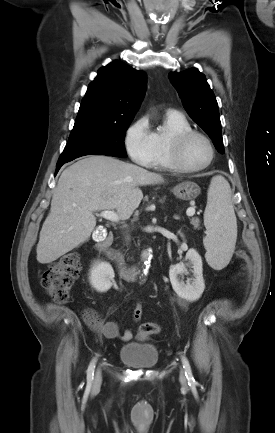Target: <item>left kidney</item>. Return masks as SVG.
<instances>
[{"label":"left kidney","mask_w":275,"mask_h":433,"mask_svg":"<svg viewBox=\"0 0 275 433\" xmlns=\"http://www.w3.org/2000/svg\"><path fill=\"white\" fill-rule=\"evenodd\" d=\"M186 259H188L193 268L194 280L192 283L189 281L184 283L178 279V275L186 274L187 269L183 263L172 265L169 270V278L174 291L181 298L189 301L198 300L204 289V279H203V268L201 256L195 249H189L186 254Z\"/></svg>","instance_id":"1"}]
</instances>
